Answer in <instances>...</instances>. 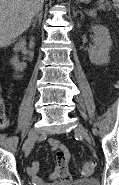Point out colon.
<instances>
[{"label": "colon", "mask_w": 119, "mask_h": 185, "mask_svg": "<svg viewBox=\"0 0 119 185\" xmlns=\"http://www.w3.org/2000/svg\"><path fill=\"white\" fill-rule=\"evenodd\" d=\"M7 124H8V122H7L5 115L2 112H0V126L5 128L7 126ZM79 171L82 176H89L94 171V164L90 161L84 162L80 166Z\"/></svg>", "instance_id": "colon-1"}]
</instances>
